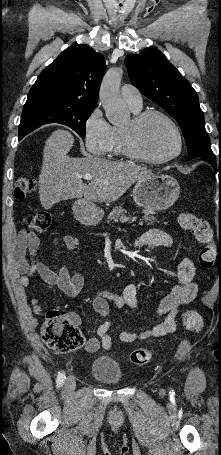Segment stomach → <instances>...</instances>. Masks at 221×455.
I'll return each instance as SVG.
<instances>
[{"label":"stomach","mask_w":221,"mask_h":455,"mask_svg":"<svg viewBox=\"0 0 221 455\" xmlns=\"http://www.w3.org/2000/svg\"><path fill=\"white\" fill-rule=\"evenodd\" d=\"M180 195L178 181L166 174H153L137 181L133 189L134 202L147 211H162L170 208ZM74 214L84 224L96 225L104 210L86 200H79L73 206Z\"/></svg>","instance_id":"obj_1"}]
</instances>
